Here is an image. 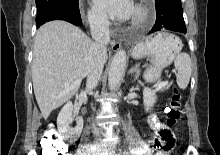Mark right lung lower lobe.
<instances>
[{
	"label": "right lung lower lobe",
	"instance_id": "right-lung-lower-lobe-1",
	"mask_svg": "<svg viewBox=\"0 0 220 155\" xmlns=\"http://www.w3.org/2000/svg\"><path fill=\"white\" fill-rule=\"evenodd\" d=\"M52 20H65L76 26L82 25L79 9L54 8L43 13L37 14L36 24L37 28Z\"/></svg>",
	"mask_w": 220,
	"mask_h": 155
}]
</instances>
